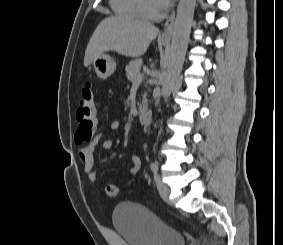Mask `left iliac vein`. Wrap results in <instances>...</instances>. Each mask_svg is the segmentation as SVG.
<instances>
[{"mask_svg": "<svg viewBox=\"0 0 283 245\" xmlns=\"http://www.w3.org/2000/svg\"><path fill=\"white\" fill-rule=\"evenodd\" d=\"M155 184L160 196L165 200L168 201V197L170 194L169 187L160 179L158 174H155Z\"/></svg>", "mask_w": 283, "mask_h": 245, "instance_id": "1", "label": "left iliac vein"}]
</instances>
